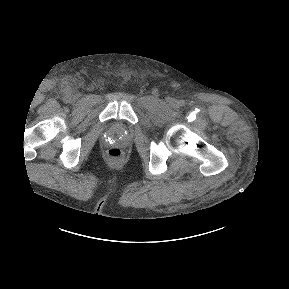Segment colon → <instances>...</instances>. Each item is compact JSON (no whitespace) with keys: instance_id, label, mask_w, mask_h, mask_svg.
<instances>
[{"instance_id":"1","label":"colon","mask_w":289,"mask_h":289,"mask_svg":"<svg viewBox=\"0 0 289 289\" xmlns=\"http://www.w3.org/2000/svg\"><path fill=\"white\" fill-rule=\"evenodd\" d=\"M107 156L114 162H119L123 157V151L118 147H111L107 151Z\"/></svg>"}]
</instances>
